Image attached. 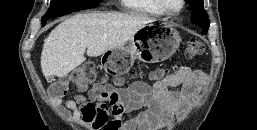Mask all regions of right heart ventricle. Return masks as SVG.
I'll return each mask as SVG.
<instances>
[{"mask_svg": "<svg viewBox=\"0 0 257 130\" xmlns=\"http://www.w3.org/2000/svg\"><path fill=\"white\" fill-rule=\"evenodd\" d=\"M123 6L130 12L146 16H164L166 12L157 0H121Z\"/></svg>", "mask_w": 257, "mask_h": 130, "instance_id": "e07e8e85", "label": "right heart ventricle"}]
</instances>
